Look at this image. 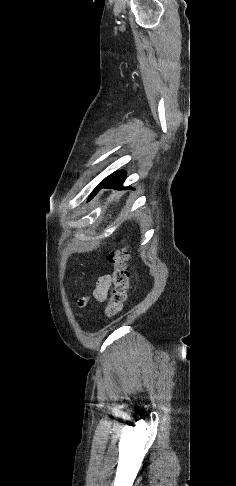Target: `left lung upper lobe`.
I'll return each mask as SVG.
<instances>
[{"label": "left lung upper lobe", "mask_w": 236, "mask_h": 486, "mask_svg": "<svg viewBox=\"0 0 236 486\" xmlns=\"http://www.w3.org/2000/svg\"><path fill=\"white\" fill-rule=\"evenodd\" d=\"M98 186H99V185H98ZM98 186H97V187H96V188L93 190L92 194L90 195V199H91V198H92V197L95 195V193H96V190H97Z\"/></svg>", "instance_id": "left-lung-upper-lobe-1"}]
</instances>
